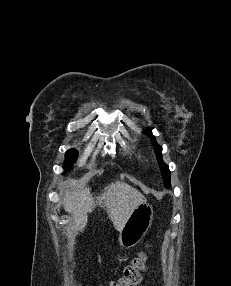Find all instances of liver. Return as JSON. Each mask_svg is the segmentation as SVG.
Instances as JSON below:
<instances>
[{
  "instance_id": "liver-1",
  "label": "liver",
  "mask_w": 231,
  "mask_h": 286,
  "mask_svg": "<svg viewBox=\"0 0 231 286\" xmlns=\"http://www.w3.org/2000/svg\"><path fill=\"white\" fill-rule=\"evenodd\" d=\"M70 182H64L65 195L62 205L67 213L73 215V229L83 232L88 220V213H92L99 206L107 211L115 229L121 231L134 209L146 203V198L132 186L115 181L104 188V191L93 197L89 187L70 191Z\"/></svg>"
}]
</instances>
